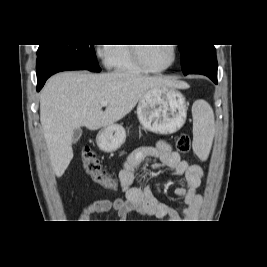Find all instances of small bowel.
<instances>
[{
  "label": "small bowel",
  "mask_w": 267,
  "mask_h": 267,
  "mask_svg": "<svg viewBox=\"0 0 267 267\" xmlns=\"http://www.w3.org/2000/svg\"><path fill=\"white\" fill-rule=\"evenodd\" d=\"M154 157L158 162L152 163L151 169L171 168L175 176L184 177L185 185L174 191L178 198L183 199L184 207L180 215L169 205L160 202L150 186L140 187L135 183L134 171L147 158ZM204 177L202 168L197 164H189L171 145L163 140L155 146H143L131 152L118 174V183L124 198L114 200L98 199L90 203L79 216L80 222H89L93 214L116 212L120 220H126L129 213L136 211L142 215L162 220L191 221L198 217L201 207V196L197 189Z\"/></svg>",
  "instance_id": "1"
}]
</instances>
